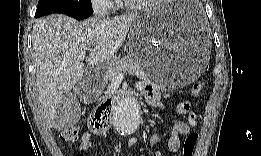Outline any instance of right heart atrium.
<instances>
[{"label":"right heart atrium","instance_id":"d8ad5b80","mask_svg":"<svg viewBox=\"0 0 261 156\" xmlns=\"http://www.w3.org/2000/svg\"><path fill=\"white\" fill-rule=\"evenodd\" d=\"M95 5L103 10H113L115 2L112 0L97 1Z\"/></svg>","mask_w":261,"mask_h":156}]
</instances>
